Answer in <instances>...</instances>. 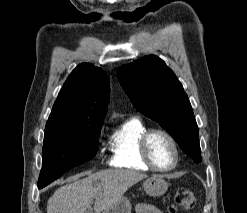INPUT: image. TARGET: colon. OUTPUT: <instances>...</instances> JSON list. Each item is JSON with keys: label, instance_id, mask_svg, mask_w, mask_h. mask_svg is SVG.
<instances>
[{"label": "colon", "instance_id": "colon-1", "mask_svg": "<svg viewBox=\"0 0 247 213\" xmlns=\"http://www.w3.org/2000/svg\"><path fill=\"white\" fill-rule=\"evenodd\" d=\"M195 205L194 193L186 188L179 189L175 196V203L173 209L181 208L184 210H190Z\"/></svg>", "mask_w": 247, "mask_h": 213}]
</instances>
